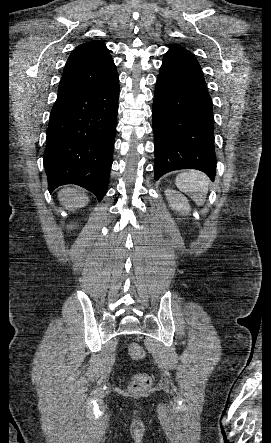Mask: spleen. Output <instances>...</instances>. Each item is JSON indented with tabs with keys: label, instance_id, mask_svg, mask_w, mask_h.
Wrapping results in <instances>:
<instances>
[{
	"label": "spleen",
	"instance_id": "3e777b00",
	"mask_svg": "<svg viewBox=\"0 0 271 443\" xmlns=\"http://www.w3.org/2000/svg\"><path fill=\"white\" fill-rule=\"evenodd\" d=\"M175 184L178 190L190 196L197 206H203L209 186L205 174L188 170V172H182L176 176Z\"/></svg>",
	"mask_w": 271,
	"mask_h": 443
}]
</instances>
